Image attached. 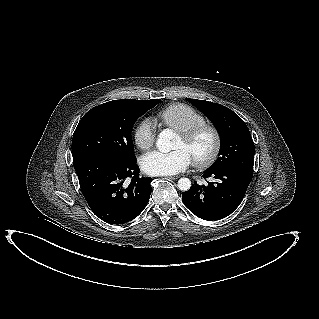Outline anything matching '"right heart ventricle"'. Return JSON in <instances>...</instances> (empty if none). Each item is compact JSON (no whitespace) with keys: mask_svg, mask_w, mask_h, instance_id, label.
Returning <instances> with one entry per match:
<instances>
[{"mask_svg":"<svg viewBox=\"0 0 319 319\" xmlns=\"http://www.w3.org/2000/svg\"><path fill=\"white\" fill-rule=\"evenodd\" d=\"M156 119L176 132L187 130L195 125L205 123V117L187 104L175 103L160 110Z\"/></svg>","mask_w":319,"mask_h":319,"instance_id":"obj_1","label":"right heart ventricle"}]
</instances>
